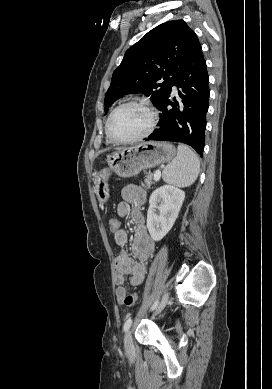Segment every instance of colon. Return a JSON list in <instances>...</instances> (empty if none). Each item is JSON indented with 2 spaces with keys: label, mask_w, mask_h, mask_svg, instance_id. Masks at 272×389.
I'll use <instances>...</instances> for the list:
<instances>
[{
  "label": "colon",
  "mask_w": 272,
  "mask_h": 389,
  "mask_svg": "<svg viewBox=\"0 0 272 389\" xmlns=\"http://www.w3.org/2000/svg\"><path fill=\"white\" fill-rule=\"evenodd\" d=\"M109 230L115 234L121 229V222L118 217H111L108 221ZM137 295L136 294H128L123 299V304L131 307L136 304Z\"/></svg>",
  "instance_id": "1"
}]
</instances>
